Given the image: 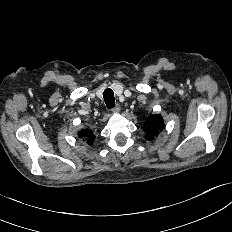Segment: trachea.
Returning a JSON list of instances; mask_svg holds the SVG:
<instances>
[{
	"instance_id": "1",
	"label": "trachea",
	"mask_w": 232,
	"mask_h": 232,
	"mask_svg": "<svg viewBox=\"0 0 232 232\" xmlns=\"http://www.w3.org/2000/svg\"><path fill=\"white\" fill-rule=\"evenodd\" d=\"M103 97H104V101L106 103V106L110 109L113 108L115 106V99H114V92L112 89L107 88L104 92H103Z\"/></svg>"
}]
</instances>
